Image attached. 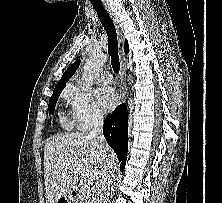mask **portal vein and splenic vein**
Returning a JSON list of instances; mask_svg holds the SVG:
<instances>
[{
	"instance_id": "1",
	"label": "portal vein and splenic vein",
	"mask_w": 222,
	"mask_h": 203,
	"mask_svg": "<svg viewBox=\"0 0 222 203\" xmlns=\"http://www.w3.org/2000/svg\"><path fill=\"white\" fill-rule=\"evenodd\" d=\"M77 169L80 170V169H81V166H78ZM81 185H82V187H83L85 190H90V189H91V186H92L91 183H90V182H87V181H82V182H81Z\"/></svg>"
}]
</instances>
